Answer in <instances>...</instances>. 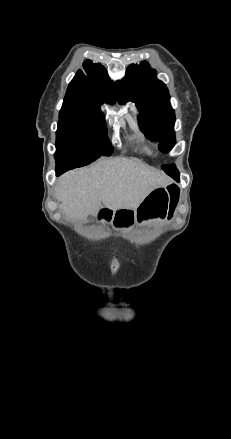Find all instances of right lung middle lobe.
I'll list each match as a JSON object with an SVG mask.
<instances>
[{"label":"right lung middle lobe","mask_w":231,"mask_h":439,"mask_svg":"<svg viewBox=\"0 0 231 439\" xmlns=\"http://www.w3.org/2000/svg\"><path fill=\"white\" fill-rule=\"evenodd\" d=\"M112 152L100 110L60 111L55 153L58 168L85 166Z\"/></svg>","instance_id":"right-lung-middle-lobe-1"}]
</instances>
